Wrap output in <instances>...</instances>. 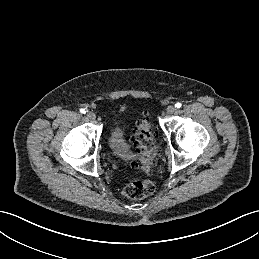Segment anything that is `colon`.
Wrapping results in <instances>:
<instances>
[{
    "instance_id": "colon-1",
    "label": "colon",
    "mask_w": 259,
    "mask_h": 259,
    "mask_svg": "<svg viewBox=\"0 0 259 259\" xmlns=\"http://www.w3.org/2000/svg\"><path fill=\"white\" fill-rule=\"evenodd\" d=\"M134 146L139 155L142 169L148 171L154 161V133L150 119L146 116L138 124L134 137ZM154 191V184L149 179L134 180L122 191L129 199H142Z\"/></svg>"
}]
</instances>
